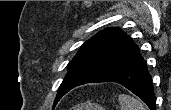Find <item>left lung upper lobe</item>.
<instances>
[{
  "instance_id": "obj_1",
  "label": "left lung upper lobe",
  "mask_w": 171,
  "mask_h": 110,
  "mask_svg": "<svg viewBox=\"0 0 171 110\" xmlns=\"http://www.w3.org/2000/svg\"><path fill=\"white\" fill-rule=\"evenodd\" d=\"M138 50L132 39L117 27L98 32L80 47L67 65L68 73L58 89L53 106L72 88L90 82Z\"/></svg>"
}]
</instances>
